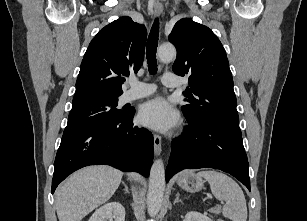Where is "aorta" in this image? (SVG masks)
Returning a JSON list of instances; mask_svg holds the SVG:
<instances>
[{"label": "aorta", "instance_id": "aorta-1", "mask_svg": "<svg viewBox=\"0 0 307 221\" xmlns=\"http://www.w3.org/2000/svg\"><path fill=\"white\" fill-rule=\"evenodd\" d=\"M158 58L162 62H170L176 58V49L173 45H162L157 51ZM165 191V169L161 159L153 162L149 176L147 193L148 214L154 217L159 212Z\"/></svg>", "mask_w": 307, "mask_h": 221}]
</instances>
